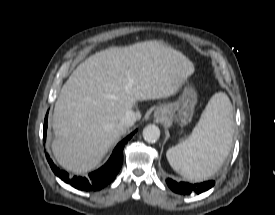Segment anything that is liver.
Segmentation results:
<instances>
[{
	"label": "liver",
	"instance_id": "obj_1",
	"mask_svg": "<svg viewBox=\"0 0 275 215\" xmlns=\"http://www.w3.org/2000/svg\"><path fill=\"white\" fill-rule=\"evenodd\" d=\"M193 73L186 56L159 41L93 54L71 74L56 101L55 159L75 174L92 170L127 132L120 123L127 111L138 101L175 95ZM135 115L141 118L140 112Z\"/></svg>",
	"mask_w": 275,
	"mask_h": 215
}]
</instances>
